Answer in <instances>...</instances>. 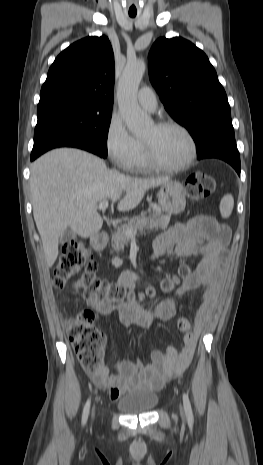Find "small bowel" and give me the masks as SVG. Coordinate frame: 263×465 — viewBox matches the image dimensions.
Returning <instances> with one entry per match:
<instances>
[{"instance_id":"small-bowel-1","label":"small bowel","mask_w":263,"mask_h":465,"mask_svg":"<svg viewBox=\"0 0 263 465\" xmlns=\"http://www.w3.org/2000/svg\"><path fill=\"white\" fill-rule=\"evenodd\" d=\"M229 234L226 230L202 225L198 218L186 223H176L157 237L151 260L169 256H201L196 269L184 280L179 298H183L199 288L203 293L195 310V329L185 333L181 350L169 346L165 351L155 349L150 352V361L143 360V353L137 362L118 361L111 368L104 367L98 372H89L94 384L107 389L112 400L123 393L143 388L160 390L164 383L180 375L189 366L198 341L200 331L210 319L211 312L218 298L223 277L225 246ZM142 271H125L119 278V285L132 290ZM87 304L102 315L116 312L119 322L130 327L136 325L149 328L156 322H166L177 314V299H167L152 309H142L133 300L112 304L105 300L87 298Z\"/></svg>"}]
</instances>
